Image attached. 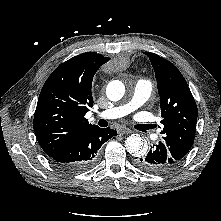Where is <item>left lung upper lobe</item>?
Instances as JSON below:
<instances>
[{
  "label": "left lung upper lobe",
  "mask_w": 221,
  "mask_h": 221,
  "mask_svg": "<svg viewBox=\"0 0 221 221\" xmlns=\"http://www.w3.org/2000/svg\"><path fill=\"white\" fill-rule=\"evenodd\" d=\"M155 71L160 96L161 121L164 143L178 163L193 145L197 106L179 70L168 60L151 52H145Z\"/></svg>",
  "instance_id": "left-lung-upper-lobe-1"
}]
</instances>
